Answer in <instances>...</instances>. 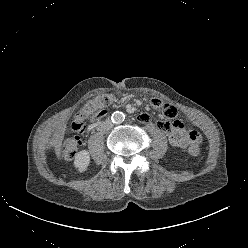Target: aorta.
<instances>
[{
	"label": "aorta",
	"mask_w": 248,
	"mask_h": 248,
	"mask_svg": "<svg viewBox=\"0 0 248 248\" xmlns=\"http://www.w3.org/2000/svg\"><path fill=\"white\" fill-rule=\"evenodd\" d=\"M112 121L114 123H121L124 121L125 119V115L124 113L120 112V111H116L112 114V117H111Z\"/></svg>",
	"instance_id": "aorta-1"
}]
</instances>
